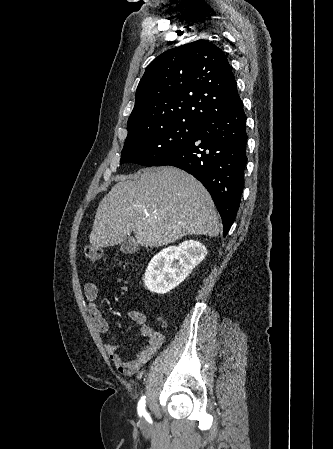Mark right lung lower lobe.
I'll return each mask as SVG.
<instances>
[{"mask_svg":"<svg viewBox=\"0 0 333 449\" xmlns=\"http://www.w3.org/2000/svg\"><path fill=\"white\" fill-rule=\"evenodd\" d=\"M246 143V115L239 99L203 120L190 139L155 165L183 169L206 187L221 215L224 237L243 191Z\"/></svg>","mask_w":333,"mask_h":449,"instance_id":"98d812e1","label":"right lung lower lobe"}]
</instances>
